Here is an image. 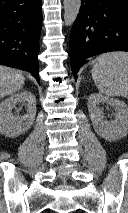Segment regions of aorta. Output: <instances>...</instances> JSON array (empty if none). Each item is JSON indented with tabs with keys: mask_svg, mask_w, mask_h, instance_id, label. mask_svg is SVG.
Returning a JSON list of instances; mask_svg holds the SVG:
<instances>
[{
	"mask_svg": "<svg viewBox=\"0 0 128 213\" xmlns=\"http://www.w3.org/2000/svg\"><path fill=\"white\" fill-rule=\"evenodd\" d=\"M63 5L65 25L71 26L79 14L81 0H63Z\"/></svg>",
	"mask_w": 128,
	"mask_h": 213,
	"instance_id": "762f6f07",
	"label": "aorta"
}]
</instances>
